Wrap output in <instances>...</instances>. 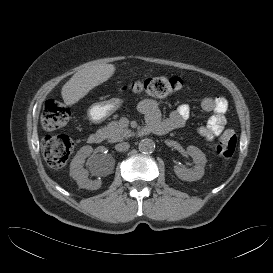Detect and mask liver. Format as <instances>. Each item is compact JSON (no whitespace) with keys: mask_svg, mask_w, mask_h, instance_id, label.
I'll list each match as a JSON object with an SVG mask.
<instances>
[{"mask_svg":"<svg viewBox=\"0 0 273 273\" xmlns=\"http://www.w3.org/2000/svg\"><path fill=\"white\" fill-rule=\"evenodd\" d=\"M113 64H100L84 68L75 73L61 90L66 105H73L88 94L90 90L104 83L115 73Z\"/></svg>","mask_w":273,"mask_h":273,"instance_id":"1","label":"liver"}]
</instances>
